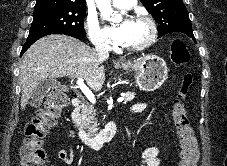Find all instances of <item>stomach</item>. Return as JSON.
I'll return each instance as SVG.
<instances>
[{
    "instance_id": "1",
    "label": "stomach",
    "mask_w": 227,
    "mask_h": 166,
    "mask_svg": "<svg viewBox=\"0 0 227 166\" xmlns=\"http://www.w3.org/2000/svg\"><path fill=\"white\" fill-rule=\"evenodd\" d=\"M122 68L133 69L136 73L138 87L147 92L155 91L165 82L168 76V67L164 59L157 55H145L133 62L122 64Z\"/></svg>"
}]
</instances>
